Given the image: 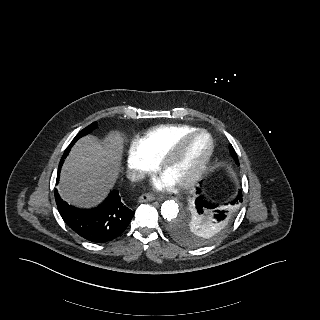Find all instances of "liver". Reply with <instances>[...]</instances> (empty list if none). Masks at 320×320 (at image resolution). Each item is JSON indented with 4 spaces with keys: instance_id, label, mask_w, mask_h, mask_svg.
Segmentation results:
<instances>
[{
    "instance_id": "liver-1",
    "label": "liver",
    "mask_w": 320,
    "mask_h": 320,
    "mask_svg": "<svg viewBox=\"0 0 320 320\" xmlns=\"http://www.w3.org/2000/svg\"><path fill=\"white\" fill-rule=\"evenodd\" d=\"M122 150L118 132L111 133L105 145L90 136L78 141L61 169L57 186L61 198L77 207L98 203L117 178Z\"/></svg>"
}]
</instances>
